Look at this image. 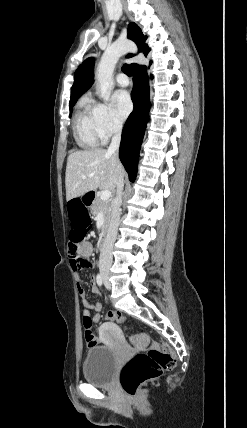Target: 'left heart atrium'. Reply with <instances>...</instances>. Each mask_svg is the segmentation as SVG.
<instances>
[{
	"instance_id": "obj_1",
	"label": "left heart atrium",
	"mask_w": 247,
	"mask_h": 428,
	"mask_svg": "<svg viewBox=\"0 0 247 428\" xmlns=\"http://www.w3.org/2000/svg\"><path fill=\"white\" fill-rule=\"evenodd\" d=\"M114 104L117 115L124 119L132 110V102L126 91H118L114 95Z\"/></svg>"
}]
</instances>
